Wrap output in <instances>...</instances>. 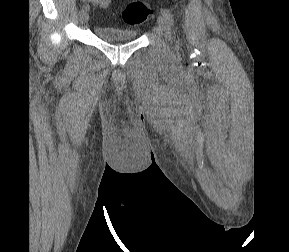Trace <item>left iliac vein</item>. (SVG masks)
<instances>
[{"label":"left iliac vein","instance_id":"obj_1","mask_svg":"<svg viewBox=\"0 0 289 252\" xmlns=\"http://www.w3.org/2000/svg\"><path fill=\"white\" fill-rule=\"evenodd\" d=\"M158 27L162 35L168 40H171V28L167 18L164 15H160L157 19Z\"/></svg>","mask_w":289,"mask_h":252}]
</instances>
